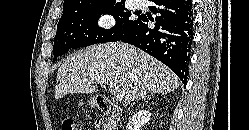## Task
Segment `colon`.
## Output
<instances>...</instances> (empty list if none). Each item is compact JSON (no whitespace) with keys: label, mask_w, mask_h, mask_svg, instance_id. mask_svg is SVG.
Listing matches in <instances>:
<instances>
[{"label":"colon","mask_w":249,"mask_h":130,"mask_svg":"<svg viewBox=\"0 0 249 130\" xmlns=\"http://www.w3.org/2000/svg\"><path fill=\"white\" fill-rule=\"evenodd\" d=\"M61 130H82V128L71 118H64L61 121Z\"/></svg>","instance_id":"colon-1"}]
</instances>
